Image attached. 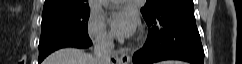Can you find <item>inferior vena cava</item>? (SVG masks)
<instances>
[{
  "label": "inferior vena cava",
  "mask_w": 242,
  "mask_h": 64,
  "mask_svg": "<svg viewBox=\"0 0 242 64\" xmlns=\"http://www.w3.org/2000/svg\"><path fill=\"white\" fill-rule=\"evenodd\" d=\"M113 41L107 35H101L94 42V56L97 64H110Z\"/></svg>",
  "instance_id": "inferior-vena-cava-1"
}]
</instances>
